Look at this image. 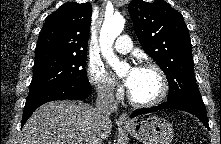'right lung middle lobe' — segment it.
I'll use <instances>...</instances> for the list:
<instances>
[{"label":"right lung middle lobe","instance_id":"obj_1","mask_svg":"<svg viewBox=\"0 0 221 144\" xmlns=\"http://www.w3.org/2000/svg\"><path fill=\"white\" fill-rule=\"evenodd\" d=\"M85 66L86 54H35L27 100L61 85L89 87Z\"/></svg>","mask_w":221,"mask_h":144}]
</instances>
